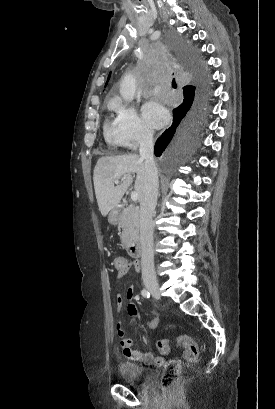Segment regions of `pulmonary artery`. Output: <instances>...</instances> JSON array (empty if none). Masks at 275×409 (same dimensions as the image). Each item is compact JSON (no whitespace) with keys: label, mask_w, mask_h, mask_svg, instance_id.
<instances>
[{"label":"pulmonary artery","mask_w":275,"mask_h":409,"mask_svg":"<svg viewBox=\"0 0 275 409\" xmlns=\"http://www.w3.org/2000/svg\"><path fill=\"white\" fill-rule=\"evenodd\" d=\"M160 90H161V87H159V86H154V87H153V90H152V93H154V94H159V93H160Z\"/></svg>","instance_id":"e3ab8cb5"}]
</instances>
